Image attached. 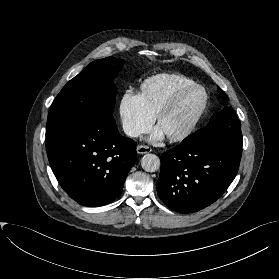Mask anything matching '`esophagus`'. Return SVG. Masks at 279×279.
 Masks as SVG:
<instances>
[{
  "label": "esophagus",
  "mask_w": 279,
  "mask_h": 279,
  "mask_svg": "<svg viewBox=\"0 0 279 279\" xmlns=\"http://www.w3.org/2000/svg\"><path fill=\"white\" fill-rule=\"evenodd\" d=\"M151 151H152V149L148 146H145V145L137 146V153L138 154H146V153H150Z\"/></svg>",
  "instance_id": "esophagus-1"
}]
</instances>
